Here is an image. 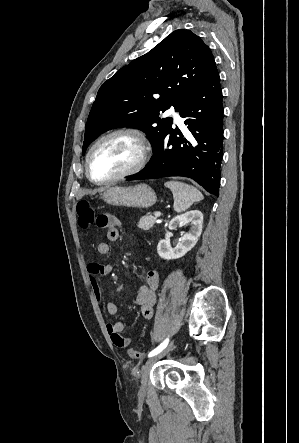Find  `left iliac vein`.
Returning <instances> with one entry per match:
<instances>
[{"label": "left iliac vein", "mask_w": 299, "mask_h": 443, "mask_svg": "<svg viewBox=\"0 0 299 443\" xmlns=\"http://www.w3.org/2000/svg\"><path fill=\"white\" fill-rule=\"evenodd\" d=\"M173 344H170L167 348L162 350L157 355H154L150 357L145 364L142 366L141 369V387H140V394L144 395L146 393L147 388V380L151 371L152 366L162 357H164L172 348Z\"/></svg>", "instance_id": "obj_1"}]
</instances>
